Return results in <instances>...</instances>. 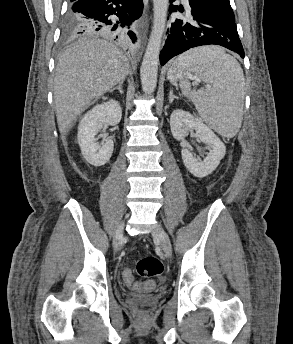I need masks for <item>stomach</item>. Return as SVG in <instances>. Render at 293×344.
Instances as JSON below:
<instances>
[{
    "mask_svg": "<svg viewBox=\"0 0 293 344\" xmlns=\"http://www.w3.org/2000/svg\"><path fill=\"white\" fill-rule=\"evenodd\" d=\"M188 71L189 70L179 65L176 61H174L172 66L168 70L167 77L171 83H181L182 81L187 80Z\"/></svg>",
    "mask_w": 293,
    "mask_h": 344,
    "instance_id": "obj_1",
    "label": "stomach"
}]
</instances>
